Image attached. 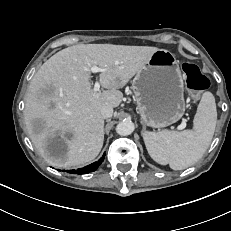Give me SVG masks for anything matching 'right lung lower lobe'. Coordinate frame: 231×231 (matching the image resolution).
<instances>
[{
    "label": "right lung lower lobe",
    "mask_w": 231,
    "mask_h": 231,
    "mask_svg": "<svg viewBox=\"0 0 231 231\" xmlns=\"http://www.w3.org/2000/svg\"><path fill=\"white\" fill-rule=\"evenodd\" d=\"M104 156L105 154L97 161V162H94L86 167H83V168H80V169H77V170H70L69 173H72V174H86V173H89V172H92V171H95L99 166L100 164L103 162L104 160Z\"/></svg>",
    "instance_id": "right-lung-lower-lobe-1"
}]
</instances>
